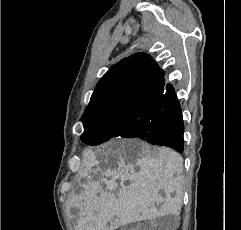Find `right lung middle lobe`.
I'll return each mask as SVG.
<instances>
[{
	"mask_svg": "<svg viewBox=\"0 0 241 230\" xmlns=\"http://www.w3.org/2000/svg\"><path fill=\"white\" fill-rule=\"evenodd\" d=\"M149 105L150 103L132 110H114L98 120L83 122L82 142L96 146L115 137L133 138L135 131H140L147 125L144 113Z\"/></svg>",
	"mask_w": 241,
	"mask_h": 230,
	"instance_id": "obj_1",
	"label": "right lung middle lobe"
}]
</instances>
